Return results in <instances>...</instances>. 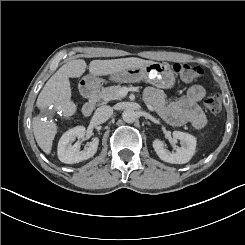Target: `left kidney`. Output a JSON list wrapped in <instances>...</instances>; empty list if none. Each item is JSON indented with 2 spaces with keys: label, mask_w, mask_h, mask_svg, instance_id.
<instances>
[{
  "label": "left kidney",
  "mask_w": 245,
  "mask_h": 245,
  "mask_svg": "<svg viewBox=\"0 0 245 245\" xmlns=\"http://www.w3.org/2000/svg\"><path fill=\"white\" fill-rule=\"evenodd\" d=\"M174 140H180L181 147L176 148V152H170L164 148V142L156 139L153 141V148L159 158L165 162L173 164H185L190 161L195 153L196 138L188 133L173 131Z\"/></svg>",
  "instance_id": "left-kidney-1"
}]
</instances>
